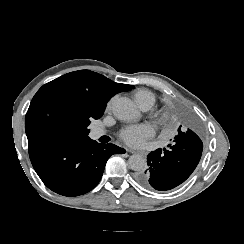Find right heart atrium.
<instances>
[{
  "mask_svg": "<svg viewBox=\"0 0 244 244\" xmlns=\"http://www.w3.org/2000/svg\"><path fill=\"white\" fill-rule=\"evenodd\" d=\"M115 97H113L109 102H108V104H107V110H110L111 109V102H112V100L114 99Z\"/></svg>",
  "mask_w": 244,
  "mask_h": 244,
  "instance_id": "right-heart-atrium-1",
  "label": "right heart atrium"
}]
</instances>
